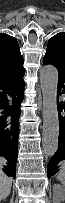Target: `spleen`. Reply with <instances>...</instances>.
Instances as JSON below:
<instances>
[{
	"instance_id": "3e777b00",
	"label": "spleen",
	"mask_w": 65,
	"mask_h": 203,
	"mask_svg": "<svg viewBox=\"0 0 65 203\" xmlns=\"http://www.w3.org/2000/svg\"><path fill=\"white\" fill-rule=\"evenodd\" d=\"M61 165H65V164H61ZM57 180H59L61 182V184H65V166L61 167V170L59 171V173L57 174Z\"/></svg>"
}]
</instances>
